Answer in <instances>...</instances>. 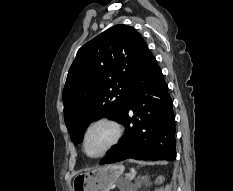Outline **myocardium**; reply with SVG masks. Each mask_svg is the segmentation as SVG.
I'll return each instance as SVG.
<instances>
[{
    "instance_id": "obj_1",
    "label": "myocardium",
    "mask_w": 233,
    "mask_h": 191,
    "mask_svg": "<svg viewBox=\"0 0 233 191\" xmlns=\"http://www.w3.org/2000/svg\"><path fill=\"white\" fill-rule=\"evenodd\" d=\"M98 125H106L108 126L112 131V137L108 144L105 146V148L98 154L92 155L90 154L86 149V140L89 132ZM123 135V127L122 125L115 119L110 117H99L94 120H92L84 129L82 140H81V147L84 152V154L92 159H98L106 155L111 149H113L121 140V137Z\"/></svg>"
}]
</instances>
